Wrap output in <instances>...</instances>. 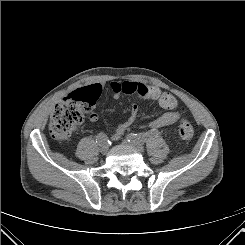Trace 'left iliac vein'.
<instances>
[{
	"instance_id": "left-iliac-vein-1",
	"label": "left iliac vein",
	"mask_w": 245,
	"mask_h": 245,
	"mask_svg": "<svg viewBox=\"0 0 245 245\" xmlns=\"http://www.w3.org/2000/svg\"><path fill=\"white\" fill-rule=\"evenodd\" d=\"M126 144L132 146L133 148H135L136 150H138L139 152H143L144 151V147L141 143H137L131 140H126L125 141Z\"/></svg>"
}]
</instances>
